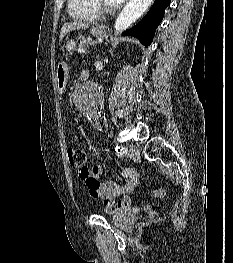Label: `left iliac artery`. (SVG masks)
Here are the masks:
<instances>
[{
  "mask_svg": "<svg viewBox=\"0 0 233 263\" xmlns=\"http://www.w3.org/2000/svg\"><path fill=\"white\" fill-rule=\"evenodd\" d=\"M115 151H116L119 155H125V154L128 153L127 148L121 147V146H118V145L115 146Z\"/></svg>",
  "mask_w": 233,
  "mask_h": 263,
  "instance_id": "obj_1",
  "label": "left iliac artery"
}]
</instances>
